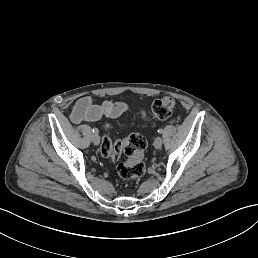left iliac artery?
<instances>
[{"instance_id": "left-iliac-artery-1", "label": "left iliac artery", "mask_w": 258, "mask_h": 258, "mask_svg": "<svg viewBox=\"0 0 258 258\" xmlns=\"http://www.w3.org/2000/svg\"><path fill=\"white\" fill-rule=\"evenodd\" d=\"M159 134H161L163 132V129L160 128L158 131H157Z\"/></svg>"}]
</instances>
